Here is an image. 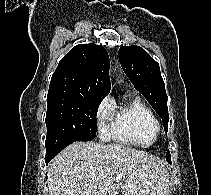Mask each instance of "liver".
I'll list each match as a JSON object with an SVG mask.
<instances>
[{
	"instance_id": "liver-1",
	"label": "liver",
	"mask_w": 211,
	"mask_h": 195,
	"mask_svg": "<svg viewBox=\"0 0 211 195\" xmlns=\"http://www.w3.org/2000/svg\"><path fill=\"white\" fill-rule=\"evenodd\" d=\"M168 176L165 163L145 152L75 142L50 163L47 183L49 195H168Z\"/></svg>"
}]
</instances>
